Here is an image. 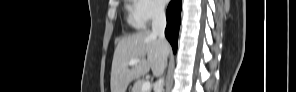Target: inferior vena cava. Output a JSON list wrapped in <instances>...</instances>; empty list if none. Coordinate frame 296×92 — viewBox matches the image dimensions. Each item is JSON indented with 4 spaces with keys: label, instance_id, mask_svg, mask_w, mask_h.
Masks as SVG:
<instances>
[{
    "label": "inferior vena cava",
    "instance_id": "inferior-vena-cava-1",
    "mask_svg": "<svg viewBox=\"0 0 296 92\" xmlns=\"http://www.w3.org/2000/svg\"><path fill=\"white\" fill-rule=\"evenodd\" d=\"M166 16L164 7L156 5L152 16V34L156 35L162 42H165ZM167 65V58L165 59V67ZM164 77H160L154 86V92H163Z\"/></svg>",
    "mask_w": 296,
    "mask_h": 92
}]
</instances>
